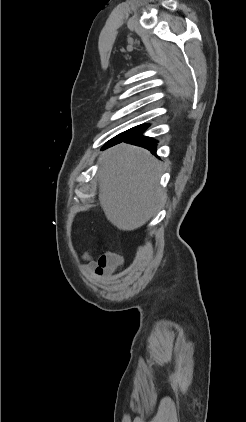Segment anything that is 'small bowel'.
Returning <instances> with one entry per match:
<instances>
[{"instance_id":"1","label":"small bowel","mask_w":246,"mask_h":422,"mask_svg":"<svg viewBox=\"0 0 246 422\" xmlns=\"http://www.w3.org/2000/svg\"><path fill=\"white\" fill-rule=\"evenodd\" d=\"M84 258L86 260L90 261V257L87 254L84 255ZM93 266H94V262L93 261H90V267H93Z\"/></svg>"}]
</instances>
